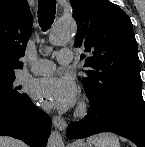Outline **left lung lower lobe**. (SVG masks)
<instances>
[{
  "label": "left lung lower lobe",
  "instance_id": "1",
  "mask_svg": "<svg viewBox=\"0 0 145 147\" xmlns=\"http://www.w3.org/2000/svg\"><path fill=\"white\" fill-rule=\"evenodd\" d=\"M101 132H112L145 147V104L141 91L121 95L100 109L89 107L88 115L71 123L68 139H80Z\"/></svg>",
  "mask_w": 145,
  "mask_h": 147
}]
</instances>
